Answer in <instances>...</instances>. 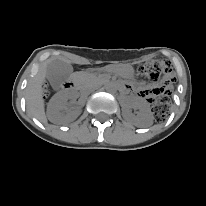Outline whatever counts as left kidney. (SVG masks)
<instances>
[{
  "mask_svg": "<svg viewBox=\"0 0 206 206\" xmlns=\"http://www.w3.org/2000/svg\"><path fill=\"white\" fill-rule=\"evenodd\" d=\"M131 108L138 109V115L132 114ZM123 116L126 120L132 121L136 126L142 128L150 127L153 123L149 104L139 97H129L127 99Z\"/></svg>",
  "mask_w": 206,
  "mask_h": 206,
  "instance_id": "1",
  "label": "left kidney"
}]
</instances>
